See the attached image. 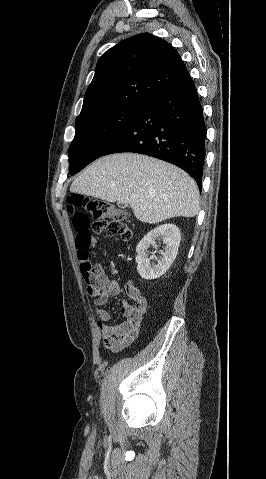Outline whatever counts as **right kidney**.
<instances>
[{"label": "right kidney", "instance_id": "obj_1", "mask_svg": "<svg viewBox=\"0 0 266 479\" xmlns=\"http://www.w3.org/2000/svg\"><path fill=\"white\" fill-rule=\"evenodd\" d=\"M163 239V244L166 245L163 252H161V259L157 264H151L150 260L153 256L148 258L147 249L150 245L157 248L155 240ZM181 236L179 228L174 224H163L151 230L138 244L136 248V263L137 271L145 280L157 279L162 276L172 265L178 254Z\"/></svg>", "mask_w": 266, "mask_h": 479}]
</instances>
